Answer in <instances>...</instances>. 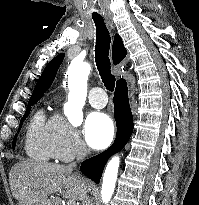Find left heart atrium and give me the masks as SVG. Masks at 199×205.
I'll use <instances>...</instances> for the list:
<instances>
[{
    "instance_id": "left-heart-atrium-1",
    "label": "left heart atrium",
    "mask_w": 199,
    "mask_h": 205,
    "mask_svg": "<svg viewBox=\"0 0 199 205\" xmlns=\"http://www.w3.org/2000/svg\"><path fill=\"white\" fill-rule=\"evenodd\" d=\"M114 124L103 112L90 113L84 123V136L87 144L94 149L107 147L114 136Z\"/></svg>"
}]
</instances>
